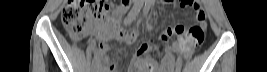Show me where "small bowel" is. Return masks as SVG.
<instances>
[{
	"label": "small bowel",
	"instance_id": "c3829d8e",
	"mask_svg": "<svg viewBox=\"0 0 267 72\" xmlns=\"http://www.w3.org/2000/svg\"><path fill=\"white\" fill-rule=\"evenodd\" d=\"M202 7V5H201ZM127 3H122L116 8V12H123L128 9ZM197 17H205V11L202 7V10L197 14ZM181 26V24H175L172 28L168 30V33L171 36L178 37V40L168 48L166 55L163 57L160 65L151 58L144 57L146 51L151 47V43H142L137 51L134 54L132 65L130 68L131 72H169L174 69L175 66V57L173 52L177 49L178 45H181L183 37L176 31V27ZM87 34L91 37L100 41L96 47V56L98 58V63L100 65L101 60V70L109 72L111 71V66L108 63L102 62V59L105 57L106 53L109 50L108 41L111 39L112 35H115L118 39H124V37L119 33H114L113 30H107L105 27V20H98L94 26H90L87 29ZM157 50V47H153ZM142 65V67H139Z\"/></svg>",
	"mask_w": 267,
	"mask_h": 72
}]
</instances>
